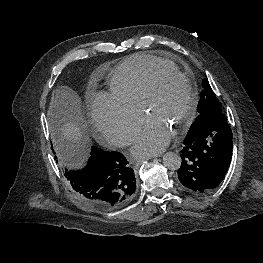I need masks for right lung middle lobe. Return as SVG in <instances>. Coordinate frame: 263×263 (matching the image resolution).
<instances>
[{
    "label": "right lung middle lobe",
    "instance_id": "obj_1",
    "mask_svg": "<svg viewBox=\"0 0 263 263\" xmlns=\"http://www.w3.org/2000/svg\"><path fill=\"white\" fill-rule=\"evenodd\" d=\"M55 146L53 148L52 146V150L55 154V160L59 165V169L61 170L62 174L66 177L69 173V171H71V166L68 164L66 157L63 154V142L61 139L56 138L54 140Z\"/></svg>",
    "mask_w": 263,
    "mask_h": 263
}]
</instances>
